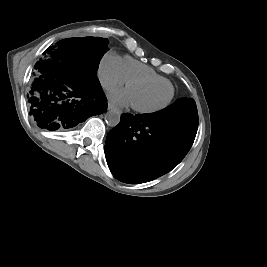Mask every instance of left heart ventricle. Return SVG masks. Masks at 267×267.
Wrapping results in <instances>:
<instances>
[{"mask_svg":"<svg viewBox=\"0 0 267 267\" xmlns=\"http://www.w3.org/2000/svg\"><path fill=\"white\" fill-rule=\"evenodd\" d=\"M131 103L139 107H154L163 104L171 95L167 85L135 83L128 88Z\"/></svg>","mask_w":267,"mask_h":267,"instance_id":"b2bd125f","label":"left heart ventricle"}]
</instances>
